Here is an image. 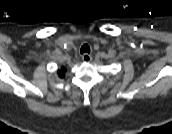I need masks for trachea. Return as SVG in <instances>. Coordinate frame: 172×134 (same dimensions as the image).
Returning a JSON list of instances; mask_svg holds the SVG:
<instances>
[{"label":"trachea","mask_w":172,"mask_h":134,"mask_svg":"<svg viewBox=\"0 0 172 134\" xmlns=\"http://www.w3.org/2000/svg\"><path fill=\"white\" fill-rule=\"evenodd\" d=\"M80 53H90V47L88 44H84L81 49H80Z\"/></svg>","instance_id":"obj_1"}]
</instances>
